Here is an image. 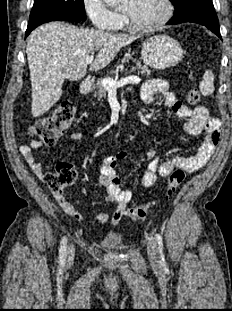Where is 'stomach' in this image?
Masks as SVG:
<instances>
[{
    "label": "stomach",
    "mask_w": 232,
    "mask_h": 311,
    "mask_svg": "<svg viewBox=\"0 0 232 311\" xmlns=\"http://www.w3.org/2000/svg\"><path fill=\"white\" fill-rule=\"evenodd\" d=\"M144 63L154 69L174 67L183 58L179 42L168 35H156L147 39L142 46Z\"/></svg>",
    "instance_id": "1"
}]
</instances>
